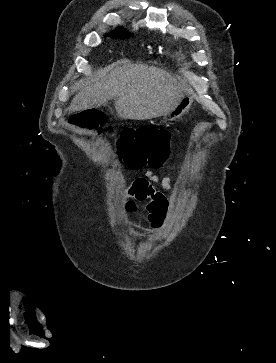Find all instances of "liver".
Here are the masks:
<instances>
[{
  "label": "liver",
  "mask_w": 276,
  "mask_h": 363,
  "mask_svg": "<svg viewBox=\"0 0 276 363\" xmlns=\"http://www.w3.org/2000/svg\"><path fill=\"white\" fill-rule=\"evenodd\" d=\"M79 86L69 110L99 107L116 98L118 116L133 120L160 117L184 96V88L170 73L141 64L116 63L95 84L80 81Z\"/></svg>",
  "instance_id": "6515ba94"
}]
</instances>
